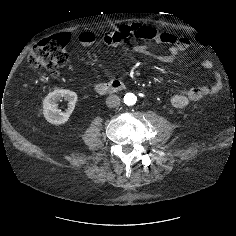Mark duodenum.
Masks as SVG:
<instances>
[{"label":"duodenum","mask_w":236,"mask_h":236,"mask_svg":"<svg viewBox=\"0 0 236 236\" xmlns=\"http://www.w3.org/2000/svg\"><path fill=\"white\" fill-rule=\"evenodd\" d=\"M125 88V84L119 80L109 82H99L95 85V90L99 94H111L119 92Z\"/></svg>","instance_id":"duodenum-1"}]
</instances>
